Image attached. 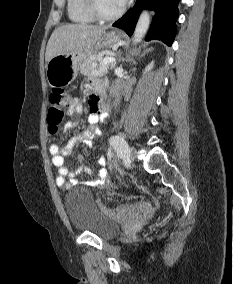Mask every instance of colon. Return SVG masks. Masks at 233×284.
<instances>
[{
	"mask_svg": "<svg viewBox=\"0 0 233 284\" xmlns=\"http://www.w3.org/2000/svg\"><path fill=\"white\" fill-rule=\"evenodd\" d=\"M69 101L70 96L66 90L58 87L52 89L49 96L50 106L47 114V124L51 134L58 132ZM152 207L151 201L142 200L133 204L119 206L115 209H108L103 206V209L117 219L128 220L147 215L152 210Z\"/></svg>",
	"mask_w": 233,
	"mask_h": 284,
	"instance_id": "obj_1",
	"label": "colon"
}]
</instances>
